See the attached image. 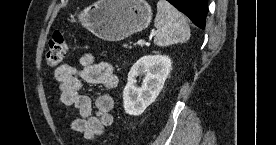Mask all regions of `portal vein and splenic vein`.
<instances>
[{
    "instance_id": "obj_1",
    "label": "portal vein and splenic vein",
    "mask_w": 276,
    "mask_h": 145,
    "mask_svg": "<svg viewBox=\"0 0 276 145\" xmlns=\"http://www.w3.org/2000/svg\"><path fill=\"white\" fill-rule=\"evenodd\" d=\"M144 44H145L144 40H138L137 41V45H139V46H143Z\"/></svg>"
}]
</instances>
